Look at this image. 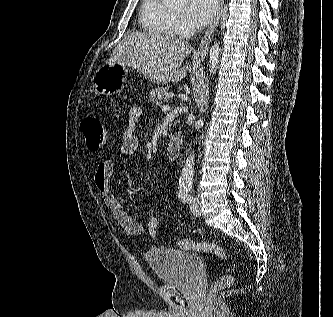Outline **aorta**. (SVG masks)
<instances>
[{"label": "aorta", "mask_w": 333, "mask_h": 317, "mask_svg": "<svg viewBox=\"0 0 333 317\" xmlns=\"http://www.w3.org/2000/svg\"><path fill=\"white\" fill-rule=\"evenodd\" d=\"M166 4L170 7H181L184 6L188 0H165ZM220 58V48L218 43H214V45L210 48L209 53V71L210 74H214L218 68ZM203 119H198L197 125L203 126ZM194 152L191 151L189 156L185 161V165L182 169L181 176L179 179V184L181 185H191L194 176Z\"/></svg>", "instance_id": "762f6f07"}]
</instances>
